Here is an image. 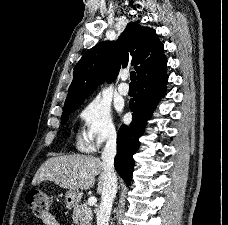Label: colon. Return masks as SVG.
<instances>
[{
    "label": "colon",
    "mask_w": 228,
    "mask_h": 225,
    "mask_svg": "<svg viewBox=\"0 0 228 225\" xmlns=\"http://www.w3.org/2000/svg\"><path fill=\"white\" fill-rule=\"evenodd\" d=\"M26 202L38 218H41L49 211L50 197L46 193L33 189L26 194Z\"/></svg>",
    "instance_id": "colon-1"
}]
</instances>
